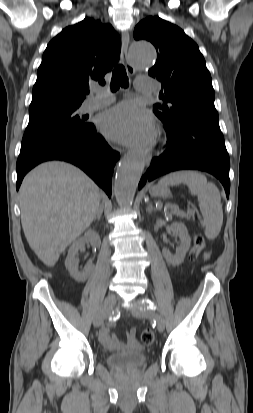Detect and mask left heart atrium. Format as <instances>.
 <instances>
[{
  "instance_id": "obj_1",
  "label": "left heart atrium",
  "mask_w": 253,
  "mask_h": 413,
  "mask_svg": "<svg viewBox=\"0 0 253 413\" xmlns=\"http://www.w3.org/2000/svg\"><path fill=\"white\" fill-rule=\"evenodd\" d=\"M98 126L109 138L127 145L148 141L154 133L152 116L127 102L105 111L99 118Z\"/></svg>"
}]
</instances>
